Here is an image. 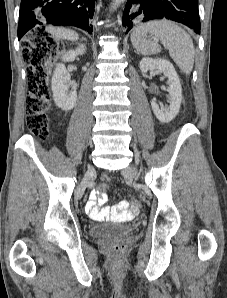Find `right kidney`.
<instances>
[{
  "instance_id": "1",
  "label": "right kidney",
  "mask_w": 227,
  "mask_h": 298,
  "mask_svg": "<svg viewBox=\"0 0 227 298\" xmlns=\"http://www.w3.org/2000/svg\"><path fill=\"white\" fill-rule=\"evenodd\" d=\"M85 46L79 45L75 50H69L62 56V61L72 62L78 55L85 53ZM51 87L55 104L64 111L73 109L77 101V92L69 90L70 74L63 63H59L52 76Z\"/></svg>"
}]
</instances>
